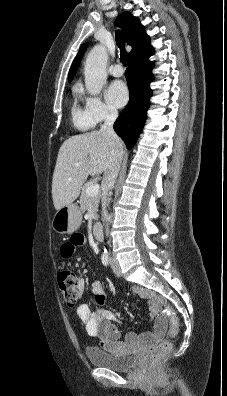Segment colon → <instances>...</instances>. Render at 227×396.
Masks as SVG:
<instances>
[{
    "instance_id": "colon-1",
    "label": "colon",
    "mask_w": 227,
    "mask_h": 396,
    "mask_svg": "<svg viewBox=\"0 0 227 396\" xmlns=\"http://www.w3.org/2000/svg\"><path fill=\"white\" fill-rule=\"evenodd\" d=\"M57 279L65 302L70 307L75 306L79 299V292L74 272L68 267H62L58 272ZM161 304L163 313L170 323V331L168 338L152 349L151 360L153 363L158 362L165 354L171 351L172 339L178 334L179 330V320L174 309L167 302L162 301Z\"/></svg>"
}]
</instances>
